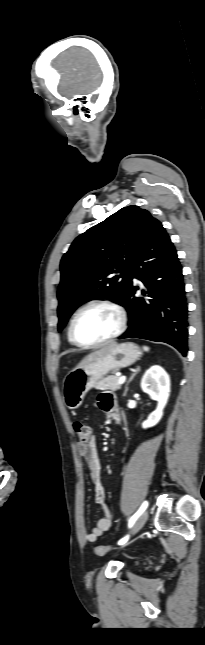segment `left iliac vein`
<instances>
[{"mask_svg": "<svg viewBox=\"0 0 205 645\" xmlns=\"http://www.w3.org/2000/svg\"><path fill=\"white\" fill-rule=\"evenodd\" d=\"M148 519V511L145 510L135 521L132 527V535L136 534L146 523Z\"/></svg>", "mask_w": 205, "mask_h": 645, "instance_id": "4c4485c4", "label": "left iliac vein"}]
</instances>
